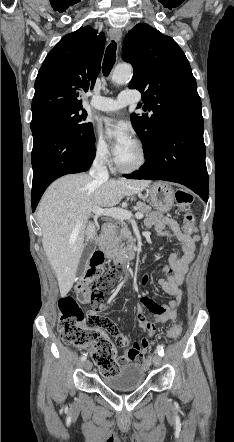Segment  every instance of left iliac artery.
<instances>
[{"label": "left iliac artery", "instance_id": "obj_1", "mask_svg": "<svg viewBox=\"0 0 234 442\" xmlns=\"http://www.w3.org/2000/svg\"><path fill=\"white\" fill-rule=\"evenodd\" d=\"M156 350H157V352H158V354H159L160 356H163V355H164V350H163V347H162L161 345H157Z\"/></svg>", "mask_w": 234, "mask_h": 442}]
</instances>
